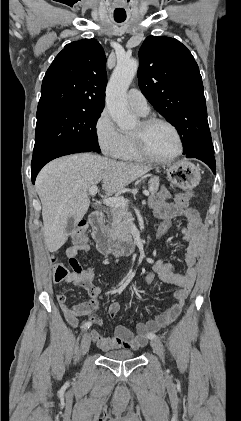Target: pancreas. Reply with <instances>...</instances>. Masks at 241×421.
I'll use <instances>...</instances> for the list:
<instances>
[{
	"instance_id": "cf45deb5",
	"label": "pancreas",
	"mask_w": 241,
	"mask_h": 421,
	"mask_svg": "<svg viewBox=\"0 0 241 421\" xmlns=\"http://www.w3.org/2000/svg\"><path fill=\"white\" fill-rule=\"evenodd\" d=\"M148 184V191L150 192V194L154 195L155 193H157L159 188V178H150ZM132 221L133 217L128 211V208H113L111 214L106 220V230L112 238H122L125 235L129 234Z\"/></svg>"
}]
</instances>
